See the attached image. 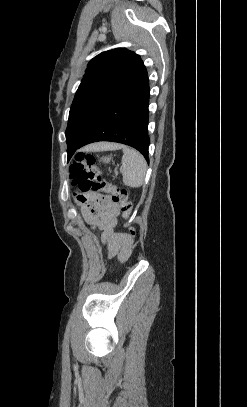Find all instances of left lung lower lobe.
Listing matches in <instances>:
<instances>
[{"instance_id":"0a47b994","label":"left lung lower lobe","mask_w":247,"mask_h":407,"mask_svg":"<svg viewBox=\"0 0 247 407\" xmlns=\"http://www.w3.org/2000/svg\"><path fill=\"white\" fill-rule=\"evenodd\" d=\"M149 90L145 70L105 108L76 150L89 143L112 141L134 147L148 162Z\"/></svg>"}]
</instances>
